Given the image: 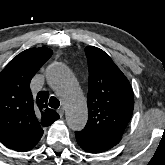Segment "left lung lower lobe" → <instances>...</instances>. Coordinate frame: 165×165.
<instances>
[{"label":"left lung lower lobe","mask_w":165,"mask_h":165,"mask_svg":"<svg viewBox=\"0 0 165 165\" xmlns=\"http://www.w3.org/2000/svg\"><path fill=\"white\" fill-rule=\"evenodd\" d=\"M75 135L79 146L89 153H101L113 147L83 130L75 132Z\"/></svg>","instance_id":"obj_1"}]
</instances>
